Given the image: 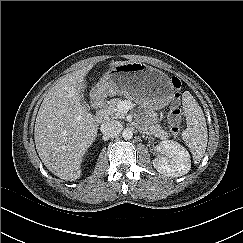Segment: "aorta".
<instances>
[{"mask_svg":"<svg viewBox=\"0 0 243 243\" xmlns=\"http://www.w3.org/2000/svg\"><path fill=\"white\" fill-rule=\"evenodd\" d=\"M122 136L125 140H130L133 138V131L131 129L126 128L122 132Z\"/></svg>","mask_w":243,"mask_h":243,"instance_id":"aorta-1","label":"aorta"}]
</instances>
